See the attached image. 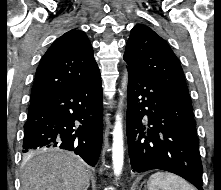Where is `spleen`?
Here are the masks:
<instances>
[{"mask_svg": "<svg viewBox=\"0 0 221 190\" xmlns=\"http://www.w3.org/2000/svg\"><path fill=\"white\" fill-rule=\"evenodd\" d=\"M148 190H196L191 184L177 175L157 172L147 182Z\"/></svg>", "mask_w": 221, "mask_h": 190, "instance_id": "spleen-1", "label": "spleen"}]
</instances>
